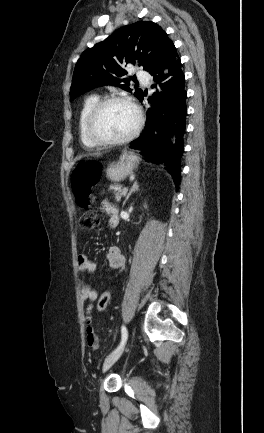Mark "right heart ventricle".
<instances>
[{
    "mask_svg": "<svg viewBox=\"0 0 264 433\" xmlns=\"http://www.w3.org/2000/svg\"><path fill=\"white\" fill-rule=\"evenodd\" d=\"M100 100L97 94H91L85 98L82 103L79 116H78V132L79 137L83 145L85 146H93V144L88 139L85 132V121L88 113L92 109V107Z\"/></svg>",
    "mask_w": 264,
    "mask_h": 433,
    "instance_id": "1",
    "label": "right heart ventricle"
}]
</instances>
